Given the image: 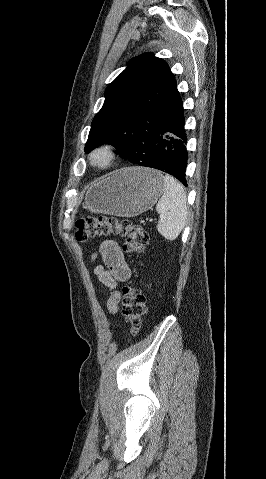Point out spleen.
<instances>
[{
	"label": "spleen",
	"mask_w": 266,
	"mask_h": 479,
	"mask_svg": "<svg viewBox=\"0 0 266 479\" xmlns=\"http://www.w3.org/2000/svg\"><path fill=\"white\" fill-rule=\"evenodd\" d=\"M160 215L158 232L169 241L175 240L188 218L187 197L183 186L172 176L165 175L163 195L156 205Z\"/></svg>",
	"instance_id": "spleen-1"
}]
</instances>
